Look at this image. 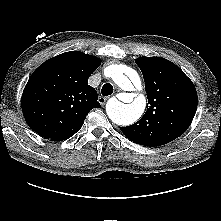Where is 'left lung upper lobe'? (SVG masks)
Here are the masks:
<instances>
[{"instance_id": "1", "label": "left lung upper lobe", "mask_w": 221, "mask_h": 221, "mask_svg": "<svg viewBox=\"0 0 221 221\" xmlns=\"http://www.w3.org/2000/svg\"><path fill=\"white\" fill-rule=\"evenodd\" d=\"M142 71L148 108L122 132L134 143L160 146L181 136L190 126L197 109V92L192 81L174 63L159 57L135 60Z\"/></svg>"}]
</instances>
